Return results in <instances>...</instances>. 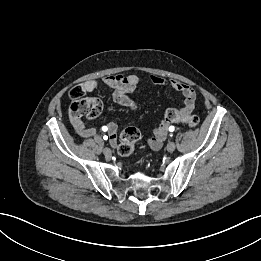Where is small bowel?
Segmentation results:
<instances>
[{
  "label": "small bowel",
  "mask_w": 261,
  "mask_h": 261,
  "mask_svg": "<svg viewBox=\"0 0 261 261\" xmlns=\"http://www.w3.org/2000/svg\"><path fill=\"white\" fill-rule=\"evenodd\" d=\"M151 81L160 86H170L180 92L184 97L183 106L180 109L182 114H189L193 111L196 104V92L186 83L175 79L166 80L160 76L152 75ZM140 83V78L137 75H111L100 80H89L82 83L81 87L84 93H90L97 89L101 84L113 91V98L116 103L126 106L133 112L137 111L136 102L130 97V94L136 89ZM70 122L75 132L82 138H89L96 135V129L86 126L80 116L75 115L70 110ZM107 132L110 143H117V125L114 122L107 124ZM168 131V126L160 124L154 129L153 136L149 140V145L152 149L158 150L161 148Z\"/></svg>",
  "instance_id": "c3829d8e"
}]
</instances>
